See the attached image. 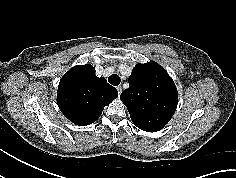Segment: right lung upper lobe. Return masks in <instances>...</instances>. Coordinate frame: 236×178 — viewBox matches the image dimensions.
Wrapping results in <instances>:
<instances>
[{"label":"right lung upper lobe","mask_w":236,"mask_h":178,"mask_svg":"<svg viewBox=\"0 0 236 178\" xmlns=\"http://www.w3.org/2000/svg\"><path fill=\"white\" fill-rule=\"evenodd\" d=\"M117 97V90L105 78L96 77L95 68L86 64L71 68L61 78L57 104L67 119L85 126L95 122Z\"/></svg>","instance_id":"cb5924a9"}]
</instances>
